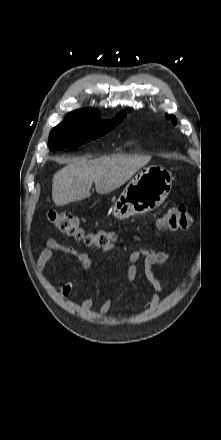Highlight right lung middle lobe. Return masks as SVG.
Here are the masks:
<instances>
[{
  "label": "right lung middle lobe",
  "instance_id": "obj_1",
  "mask_svg": "<svg viewBox=\"0 0 221 440\" xmlns=\"http://www.w3.org/2000/svg\"><path fill=\"white\" fill-rule=\"evenodd\" d=\"M126 116L123 112L111 121H103L95 111H74L66 115L65 120L54 127L49 136L50 150L76 148L94 140L117 126Z\"/></svg>",
  "mask_w": 221,
  "mask_h": 440
}]
</instances>
